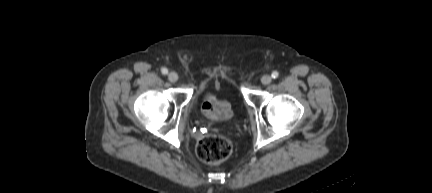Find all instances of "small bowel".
Here are the masks:
<instances>
[{
	"mask_svg": "<svg viewBox=\"0 0 432 193\" xmlns=\"http://www.w3.org/2000/svg\"><path fill=\"white\" fill-rule=\"evenodd\" d=\"M202 112L207 118L212 120L225 119L230 115L228 105L210 94H207L204 99Z\"/></svg>",
	"mask_w": 432,
	"mask_h": 193,
	"instance_id": "obj_1",
	"label": "small bowel"
}]
</instances>
